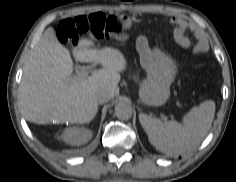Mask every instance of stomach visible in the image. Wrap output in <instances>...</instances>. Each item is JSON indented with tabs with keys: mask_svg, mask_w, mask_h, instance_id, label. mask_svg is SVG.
Listing matches in <instances>:
<instances>
[{
	"mask_svg": "<svg viewBox=\"0 0 236 182\" xmlns=\"http://www.w3.org/2000/svg\"><path fill=\"white\" fill-rule=\"evenodd\" d=\"M122 20L129 28L131 19L128 16ZM141 64L147 72V78L142 81L139 97L142 103L149 106H161L170 96V85L177 74L175 60L158 48L141 51Z\"/></svg>",
	"mask_w": 236,
	"mask_h": 182,
	"instance_id": "obj_1",
	"label": "stomach"
}]
</instances>
